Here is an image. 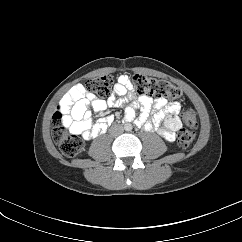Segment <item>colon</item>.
Wrapping results in <instances>:
<instances>
[{"mask_svg": "<svg viewBox=\"0 0 242 242\" xmlns=\"http://www.w3.org/2000/svg\"><path fill=\"white\" fill-rule=\"evenodd\" d=\"M113 79L110 75H103L89 79L85 83V89L94 92L99 96H107L112 89ZM133 84L139 95H154L158 98L180 100L183 97L182 91L166 80L157 79L144 74H135ZM184 128L178 134V144L189 147L194 138L197 128V116L193 108H186L181 115ZM53 139L61 152L67 157L76 156L83 148V141L76 136L64 123V115L61 111L54 114L52 120Z\"/></svg>", "mask_w": 242, "mask_h": 242, "instance_id": "1", "label": "colon"}]
</instances>
